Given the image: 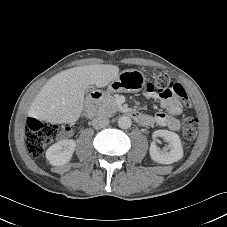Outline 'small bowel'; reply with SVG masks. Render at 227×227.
<instances>
[{
    "instance_id": "small-bowel-1",
    "label": "small bowel",
    "mask_w": 227,
    "mask_h": 227,
    "mask_svg": "<svg viewBox=\"0 0 227 227\" xmlns=\"http://www.w3.org/2000/svg\"><path fill=\"white\" fill-rule=\"evenodd\" d=\"M146 97L154 99L160 103V106L166 112H158L155 115H145V121L142 125L152 126L157 124L162 127H166L172 131H178L180 129V122L177 118L182 113V105L179 100L173 96V92L170 89L157 90V86L154 83H149L146 86Z\"/></svg>"
}]
</instances>
